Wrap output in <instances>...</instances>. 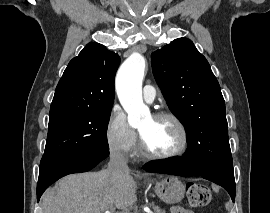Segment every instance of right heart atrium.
Listing matches in <instances>:
<instances>
[{
	"label": "right heart atrium",
	"instance_id": "d8ad5b80",
	"mask_svg": "<svg viewBox=\"0 0 270 213\" xmlns=\"http://www.w3.org/2000/svg\"><path fill=\"white\" fill-rule=\"evenodd\" d=\"M105 137L111 154L129 158L136 150V133L129 125L127 116L119 106H114L109 115Z\"/></svg>",
	"mask_w": 270,
	"mask_h": 213
}]
</instances>
